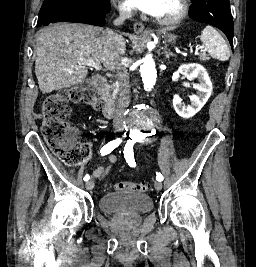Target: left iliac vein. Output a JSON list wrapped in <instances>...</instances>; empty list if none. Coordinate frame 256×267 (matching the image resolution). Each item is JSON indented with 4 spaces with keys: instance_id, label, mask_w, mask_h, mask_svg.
Masks as SVG:
<instances>
[{
    "instance_id": "4c4485c4",
    "label": "left iliac vein",
    "mask_w": 256,
    "mask_h": 267,
    "mask_svg": "<svg viewBox=\"0 0 256 267\" xmlns=\"http://www.w3.org/2000/svg\"><path fill=\"white\" fill-rule=\"evenodd\" d=\"M154 186H155V189L158 191L162 189V183L160 181H156Z\"/></svg>"
}]
</instances>
